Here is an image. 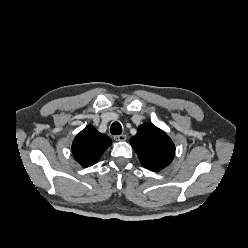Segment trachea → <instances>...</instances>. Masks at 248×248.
<instances>
[{
	"label": "trachea",
	"mask_w": 248,
	"mask_h": 248,
	"mask_svg": "<svg viewBox=\"0 0 248 248\" xmlns=\"http://www.w3.org/2000/svg\"><path fill=\"white\" fill-rule=\"evenodd\" d=\"M110 132L113 135H120L122 133V126L119 122H113L110 127Z\"/></svg>",
	"instance_id": "1"
}]
</instances>
